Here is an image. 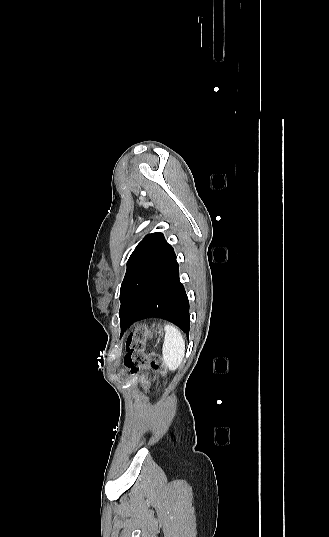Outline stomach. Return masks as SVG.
I'll return each mask as SVG.
<instances>
[{
	"label": "stomach",
	"instance_id": "obj_1",
	"mask_svg": "<svg viewBox=\"0 0 329 537\" xmlns=\"http://www.w3.org/2000/svg\"><path fill=\"white\" fill-rule=\"evenodd\" d=\"M154 328H155L156 332H162L163 331V325L160 324V323L156 324Z\"/></svg>",
	"mask_w": 329,
	"mask_h": 537
}]
</instances>
